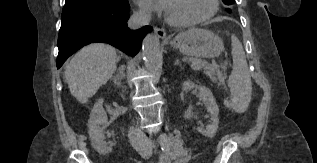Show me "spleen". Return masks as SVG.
Returning a JSON list of instances; mask_svg holds the SVG:
<instances>
[{"instance_id": "spleen-1", "label": "spleen", "mask_w": 317, "mask_h": 163, "mask_svg": "<svg viewBox=\"0 0 317 163\" xmlns=\"http://www.w3.org/2000/svg\"><path fill=\"white\" fill-rule=\"evenodd\" d=\"M233 69L228 79L231 92V106L238 112H244L250 102L252 82L248 70L245 52L235 35L231 36Z\"/></svg>"}]
</instances>
